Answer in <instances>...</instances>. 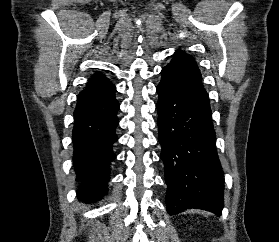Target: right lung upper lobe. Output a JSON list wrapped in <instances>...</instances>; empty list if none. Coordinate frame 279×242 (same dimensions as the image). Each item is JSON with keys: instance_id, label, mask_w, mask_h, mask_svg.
Returning <instances> with one entry per match:
<instances>
[{"instance_id": "right-lung-upper-lobe-1", "label": "right lung upper lobe", "mask_w": 279, "mask_h": 242, "mask_svg": "<svg viewBox=\"0 0 279 242\" xmlns=\"http://www.w3.org/2000/svg\"><path fill=\"white\" fill-rule=\"evenodd\" d=\"M112 85L102 73H95L87 84V87L80 92L78 97L87 96L101 91Z\"/></svg>"}]
</instances>
